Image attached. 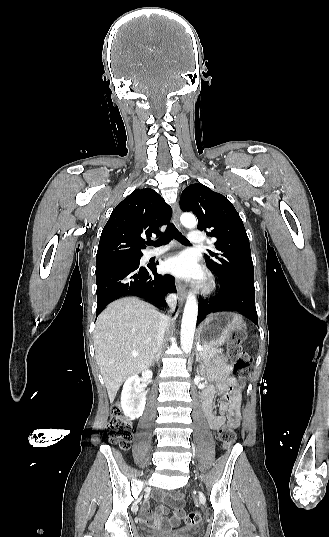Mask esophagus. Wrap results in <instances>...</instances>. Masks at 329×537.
<instances>
[{
    "label": "esophagus",
    "mask_w": 329,
    "mask_h": 537,
    "mask_svg": "<svg viewBox=\"0 0 329 537\" xmlns=\"http://www.w3.org/2000/svg\"><path fill=\"white\" fill-rule=\"evenodd\" d=\"M180 214L181 212H180L179 205L175 203L173 206V220L177 229L182 231L183 227L180 223ZM179 294H180V300L184 301L187 296V291H186V286L181 283H179Z\"/></svg>",
    "instance_id": "esophagus-1"
}]
</instances>
